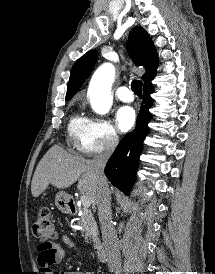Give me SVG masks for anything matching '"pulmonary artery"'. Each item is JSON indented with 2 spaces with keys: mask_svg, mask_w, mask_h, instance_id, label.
Here are the masks:
<instances>
[{
  "mask_svg": "<svg viewBox=\"0 0 215 274\" xmlns=\"http://www.w3.org/2000/svg\"><path fill=\"white\" fill-rule=\"evenodd\" d=\"M116 96L123 102H132L134 100L133 93L126 86H121L116 90Z\"/></svg>",
  "mask_w": 215,
  "mask_h": 274,
  "instance_id": "pulmonary-artery-1",
  "label": "pulmonary artery"
}]
</instances>
